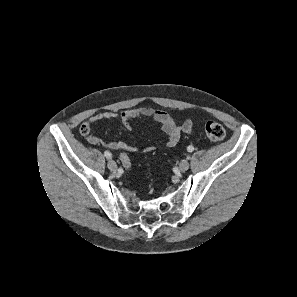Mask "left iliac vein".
I'll return each mask as SVG.
<instances>
[{"label":"left iliac vein","mask_w":297,"mask_h":297,"mask_svg":"<svg viewBox=\"0 0 297 297\" xmlns=\"http://www.w3.org/2000/svg\"><path fill=\"white\" fill-rule=\"evenodd\" d=\"M179 168L181 171H186L189 168V162L187 159L181 160L179 164Z\"/></svg>","instance_id":"1"}]
</instances>
